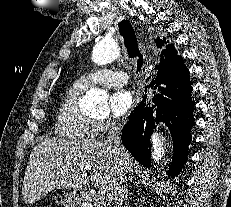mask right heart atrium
<instances>
[{
    "label": "right heart atrium",
    "mask_w": 231,
    "mask_h": 207,
    "mask_svg": "<svg viewBox=\"0 0 231 207\" xmlns=\"http://www.w3.org/2000/svg\"><path fill=\"white\" fill-rule=\"evenodd\" d=\"M96 124H97V131H96L97 134L110 131L118 126V124L115 121L108 118L99 120L96 122Z\"/></svg>",
    "instance_id": "right-heart-atrium-1"
}]
</instances>
